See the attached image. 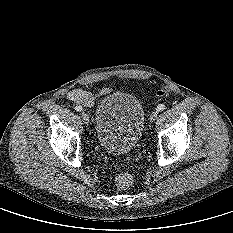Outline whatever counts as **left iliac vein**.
Returning <instances> with one entry per match:
<instances>
[{
    "label": "left iliac vein",
    "instance_id": "1",
    "mask_svg": "<svg viewBox=\"0 0 233 233\" xmlns=\"http://www.w3.org/2000/svg\"><path fill=\"white\" fill-rule=\"evenodd\" d=\"M157 117H158V111H153L149 118L150 122H154L157 119Z\"/></svg>",
    "mask_w": 233,
    "mask_h": 233
}]
</instances>
